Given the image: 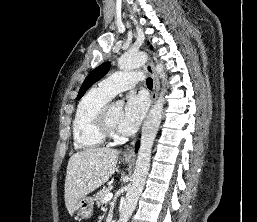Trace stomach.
I'll return each instance as SVG.
<instances>
[{
    "mask_svg": "<svg viewBox=\"0 0 257 222\" xmlns=\"http://www.w3.org/2000/svg\"><path fill=\"white\" fill-rule=\"evenodd\" d=\"M123 162L129 163L130 160L123 158ZM93 204L94 200L90 196L82 197L75 206V212L77 216L81 217L82 219H88L93 214Z\"/></svg>",
    "mask_w": 257,
    "mask_h": 222,
    "instance_id": "stomach-1",
    "label": "stomach"
}]
</instances>
